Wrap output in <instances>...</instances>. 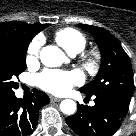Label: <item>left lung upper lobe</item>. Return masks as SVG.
Masks as SVG:
<instances>
[{
  "mask_svg": "<svg viewBox=\"0 0 136 136\" xmlns=\"http://www.w3.org/2000/svg\"><path fill=\"white\" fill-rule=\"evenodd\" d=\"M90 32L101 51V66L95 80L80 91L87 96L120 94L132 96L134 91L132 67L119 41L107 30L85 24L79 25Z\"/></svg>",
  "mask_w": 136,
  "mask_h": 136,
  "instance_id": "obj_1",
  "label": "left lung upper lobe"
}]
</instances>
